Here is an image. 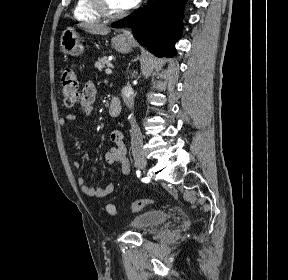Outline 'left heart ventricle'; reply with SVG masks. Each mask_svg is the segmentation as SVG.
<instances>
[{
    "instance_id": "1",
    "label": "left heart ventricle",
    "mask_w": 288,
    "mask_h": 280,
    "mask_svg": "<svg viewBox=\"0 0 288 280\" xmlns=\"http://www.w3.org/2000/svg\"><path fill=\"white\" fill-rule=\"evenodd\" d=\"M107 7L112 12L122 11L118 0H106Z\"/></svg>"
}]
</instances>
